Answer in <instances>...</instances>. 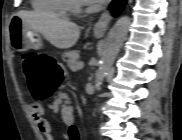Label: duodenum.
<instances>
[{
	"instance_id": "duodenum-1",
	"label": "duodenum",
	"mask_w": 182,
	"mask_h": 140,
	"mask_svg": "<svg viewBox=\"0 0 182 140\" xmlns=\"http://www.w3.org/2000/svg\"><path fill=\"white\" fill-rule=\"evenodd\" d=\"M64 115L66 117V119H73L74 118V110L67 108V109H63Z\"/></svg>"
}]
</instances>
